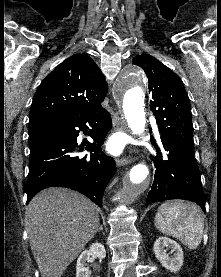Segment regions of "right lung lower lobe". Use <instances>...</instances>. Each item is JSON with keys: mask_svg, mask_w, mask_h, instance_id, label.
Instances as JSON below:
<instances>
[{"mask_svg": "<svg viewBox=\"0 0 221 277\" xmlns=\"http://www.w3.org/2000/svg\"><path fill=\"white\" fill-rule=\"evenodd\" d=\"M93 128L86 150L90 155L79 156L84 146L78 148L79 130ZM50 133L30 147L27 203L39 191L48 187H66L76 190L102 207L104 190L116 172L112 157L100 149L111 128V116L102 106L94 111L73 117H59L42 122ZM79 128V130H78Z\"/></svg>", "mask_w": 221, "mask_h": 277, "instance_id": "obj_1", "label": "right lung lower lobe"}]
</instances>
